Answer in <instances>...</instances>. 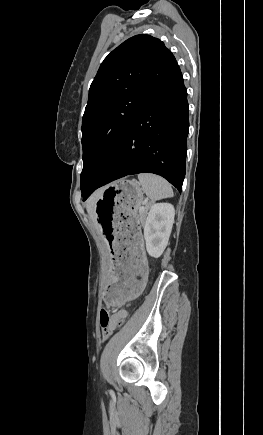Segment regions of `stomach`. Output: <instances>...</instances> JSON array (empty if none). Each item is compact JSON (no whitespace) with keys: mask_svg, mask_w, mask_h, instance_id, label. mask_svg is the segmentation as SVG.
<instances>
[{"mask_svg":"<svg viewBox=\"0 0 263 435\" xmlns=\"http://www.w3.org/2000/svg\"><path fill=\"white\" fill-rule=\"evenodd\" d=\"M142 200V189L135 179L114 181L95 198L98 233H103L109 251L111 285L106 302L111 309L133 305V299H139L150 282L143 255L145 235L138 216Z\"/></svg>","mask_w":263,"mask_h":435,"instance_id":"stomach-1","label":"stomach"}]
</instances>
